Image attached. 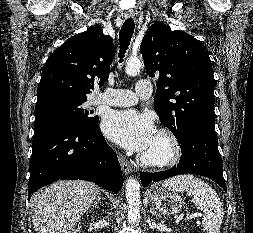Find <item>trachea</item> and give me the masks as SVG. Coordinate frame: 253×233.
Here are the masks:
<instances>
[{
	"mask_svg": "<svg viewBox=\"0 0 253 233\" xmlns=\"http://www.w3.org/2000/svg\"><path fill=\"white\" fill-rule=\"evenodd\" d=\"M134 28H135V23L132 18L127 19L121 27V30L119 33V41H120L119 62L123 61L122 58L124 57V54L126 53V50L128 49V46L130 44V41L134 32Z\"/></svg>",
	"mask_w": 253,
	"mask_h": 233,
	"instance_id": "trachea-1",
	"label": "trachea"
}]
</instances>
